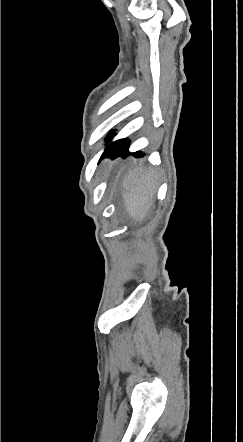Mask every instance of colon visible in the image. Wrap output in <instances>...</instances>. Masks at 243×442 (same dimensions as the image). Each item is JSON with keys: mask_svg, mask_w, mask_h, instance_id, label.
I'll list each match as a JSON object with an SVG mask.
<instances>
[{"mask_svg": "<svg viewBox=\"0 0 243 442\" xmlns=\"http://www.w3.org/2000/svg\"><path fill=\"white\" fill-rule=\"evenodd\" d=\"M130 262H137L138 260H145V257H138L137 255H130L128 257Z\"/></svg>", "mask_w": 243, "mask_h": 442, "instance_id": "1", "label": "colon"}]
</instances>
